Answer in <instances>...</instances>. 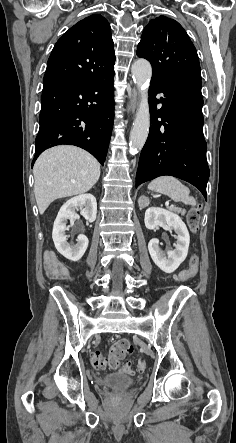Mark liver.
<instances>
[{"instance_id": "6515ba94", "label": "liver", "mask_w": 236, "mask_h": 443, "mask_svg": "<svg viewBox=\"0 0 236 443\" xmlns=\"http://www.w3.org/2000/svg\"><path fill=\"white\" fill-rule=\"evenodd\" d=\"M40 214L56 199L88 192L99 180L100 164L88 152L69 145L43 152L33 168Z\"/></svg>"}]
</instances>
